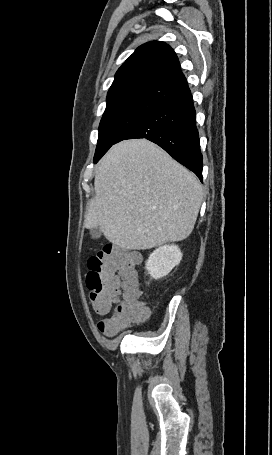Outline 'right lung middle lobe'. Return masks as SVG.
I'll return each instance as SVG.
<instances>
[{"instance_id":"dd1d6c3e","label":"right lung middle lobe","mask_w":272,"mask_h":455,"mask_svg":"<svg viewBox=\"0 0 272 455\" xmlns=\"http://www.w3.org/2000/svg\"><path fill=\"white\" fill-rule=\"evenodd\" d=\"M162 104L149 98H130L107 104L100 122L94 156L96 163L129 128L146 118Z\"/></svg>"}]
</instances>
